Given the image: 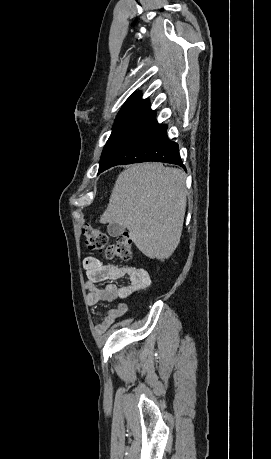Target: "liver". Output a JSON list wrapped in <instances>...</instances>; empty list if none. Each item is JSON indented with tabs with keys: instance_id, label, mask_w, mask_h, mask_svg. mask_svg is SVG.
<instances>
[{
	"instance_id": "obj_1",
	"label": "liver",
	"mask_w": 271,
	"mask_h": 459,
	"mask_svg": "<svg viewBox=\"0 0 271 459\" xmlns=\"http://www.w3.org/2000/svg\"><path fill=\"white\" fill-rule=\"evenodd\" d=\"M186 212L185 174L147 162L119 174L100 224H120L147 257L168 259L181 237Z\"/></svg>"
}]
</instances>
